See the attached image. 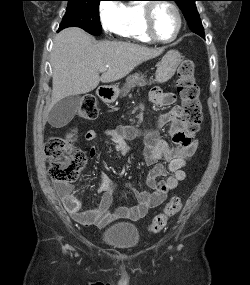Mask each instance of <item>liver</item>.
Here are the masks:
<instances>
[{"label":"liver","mask_w":250,"mask_h":285,"mask_svg":"<svg viewBox=\"0 0 250 285\" xmlns=\"http://www.w3.org/2000/svg\"><path fill=\"white\" fill-rule=\"evenodd\" d=\"M162 52V48L130 42L97 43L93 36L78 27L62 30L55 36L51 52L52 94L46 115L61 99L89 93L100 81H117ZM106 66L108 68L100 77V70Z\"/></svg>","instance_id":"1"}]
</instances>
